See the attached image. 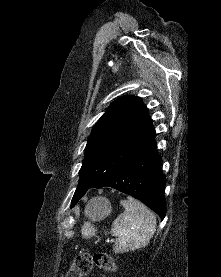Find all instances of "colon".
I'll use <instances>...</instances> for the list:
<instances>
[{"instance_id":"5ec220e1","label":"colon","mask_w":221,"mask_h":277,"mask_svg":"<svg viewBox=\"0 0 221 277\" xmlns=\"http://www.w3.org/2000/svg\"><path fill=\"white\" fill-rule=\"evenodd\" d=\"M97 267L106 271H115L116 264L111 256L106 253H82L75 256L65 273L66 277H83Z\"/></svg>"}]
</instances>
